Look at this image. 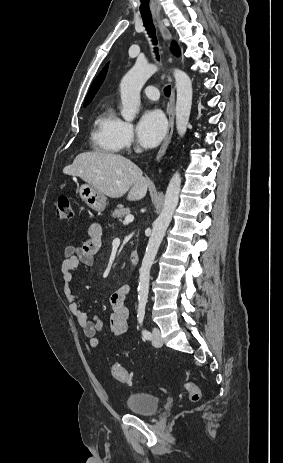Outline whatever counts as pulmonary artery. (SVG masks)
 <instances>
[{
  "mask_svg": "<svg viewBox=\"0 0 283 463\" xmlns=\"http://www.w3.org/2000/svg\"><path fill=\"white\" fill-rule=\"evenodd\" d=\"M143 94L151 100H157L159 98V92L155 86L145 87L143 89Z\"/></svg>",
  "mask_w": 283,
  "mask_h": 463,
  "instance_id": "obj_1",
  "label": "pulmonary artery"
}]
</instances>
